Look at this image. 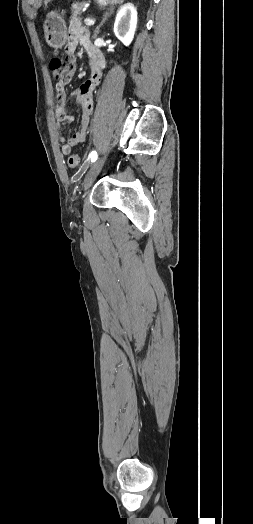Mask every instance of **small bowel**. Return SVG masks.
Wrapping results in <instances>:
<instances>
[{"label": "small bowel", "mask_w": 253, "mask_h": 524, "mask_svg": "<svg viewBox=\"0 0 253 524\" xmlns=\"http://www.w3.org/2000/svg\"><path fill=\"white\" fill-rule=\"evenodd\" d=\"M78 46H81L87 55L90 77L80 87L72 90L70 93V96L76 99L81 108V122L79 130L70 138L66 139L62 129L71 125L75 119L66 112L67 95L65 88L70 85L73 77L77 74L78 63L75 51ZM66 53V59L68 61L67 71L61 75L59 82L56 84L57 98L55 108L58 134L62 143L61 151L64 155L70 154L74 146L87 139L90 120L95 105L94 91L101 82L106 66L103 55L91 42L90 32L82 26L78 20H73L70 24Z\"/></svg>", "instance_id": "1"}]
</instances>
